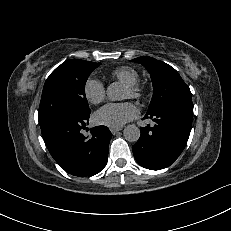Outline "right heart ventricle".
<instances>
[{
	"instance_id": "e07e8e85",
	"label": "right heart ventricle",
	"mask_w": 231,
	"mask_h": 231,
	"mask_svg": "<svg viewBox=\"0 0 231 231\" xmlns=\"http://www.w3.org/2000/svg\"><path fill=\"white\" fill-rule=\"evenodd\" d=\"M111 75L113 78L124 83L125 85L137 83L139 80V75L137 71L127 66L115 69Z\"/></svg>"
}]
</instances>
